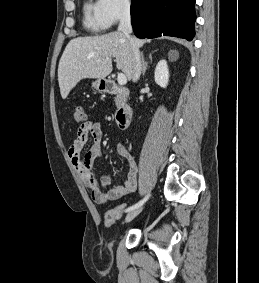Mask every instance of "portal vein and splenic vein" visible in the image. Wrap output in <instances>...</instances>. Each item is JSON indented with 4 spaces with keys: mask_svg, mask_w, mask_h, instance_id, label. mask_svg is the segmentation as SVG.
Listing matches in <instances>:
<instances>
[{
    "mask_svg": "<svg viewBox=\"0 0 259 283\" xmlns=\"http://www.w3.org/2000/svg\"><path fill=\"white\" fill-rule=\"evenodd\" d=\"M118 84L123 86L127 83V78L123 73H119L117 77Z\"/></svg>",
    "mask_w": 259,
    "mask_h": 283,
    "instance_id": "18ae733b",
    "label": "portal vein and splenic vein"
}]
</instances>
